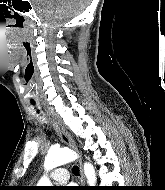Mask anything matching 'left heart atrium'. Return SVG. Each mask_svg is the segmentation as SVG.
Here are the masks:
<instances>
[{"mask_svg":"<svg viewBox=\"0 0 165 190\" xmlns=\"http://www.w3.org/2000/svg\"><path fill=\"white\" fill-rule=\"evenodd\" d=\"M64 190H74L73 187H66Z\"/></svg>","mask_w":165,"mask_h":190,"instance_id":"39dd6f15","label":"left heart atrium"}]
</instances>
